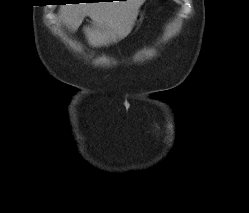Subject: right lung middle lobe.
Listing matches in <instances>:
<instances>
[{"label": "right lung middle lobe", "instance_id": "right-lung-middle-lobe-1", "mask_svg": "<svg viewBox=\"0 0 249 213\" xmlns=\"http://www.w3.org/2000/svg\"><path fill=\"white\" fill-rule=\"evenodd\" d=\"M68 1L74 2V0H68Z\"/></svg>", "mask_w": 249, "mask_h": 213}]
</instances>
